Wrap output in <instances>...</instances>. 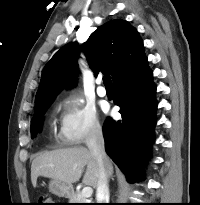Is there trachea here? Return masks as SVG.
Segmentation results:
<instances>
[{
  "label": "trachea",
  "instance_id": "obj_1",
  "mask_svg": "<svg viewBox=\"0 0 200 205\" xmlns=\"http://www.w3.org/2000/svg\"><path fill=\"white\" fill-rule=\"evenodd\" d=\"M103 82L107 88H112V82H111L110 75H105L103 78Z\"/></svg>",
  "mask_w": 200,
  "mask_h": 205
}]
</instances>
